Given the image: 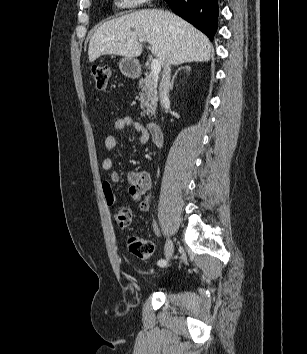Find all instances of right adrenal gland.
<instances>
[{
    "label": "right adrenal gland",
    "mask_w": 307,
    "mask_h": 354,
    "mask_svg": "<svg viewBox=\"0 0 307 354\" xmlns=\"http://www.w3.org/2000/svg\"><path fill=\"white\" fill-rule=\"evenodd\" d=\"M182 69H186L188 72H190L191 68L189 66H184V67H180L178 68V70L175 72V74L173 75L172 79H171V83H170V89H173V85H174V79L177 76L178 72Z\"/></svg>",
    "instance_id": "obj_1"
}]
</instances>
